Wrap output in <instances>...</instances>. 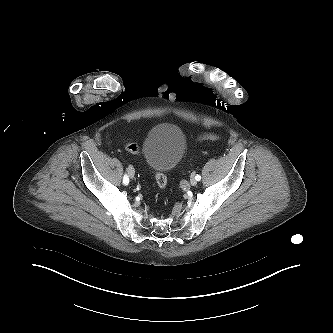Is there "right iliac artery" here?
I'll return each instance as SVG.
<instances>
[{
	"label": "right iliac artery",
	"instance_id": "obj_1",
	"mask_svg": "<svg viewBox=\"0 0 333 333\" xmlns=\"http://www.w3.org/2000/svg\"><path fill=\"white\" fill-rule=\"evenodd\" d=\"M123 183H124V185H128V183H129V178H128L127 174H125L123 177Z\"/></svg>",
	"mask_w": 333,
	"mask_h": 333
}]
</instances>
